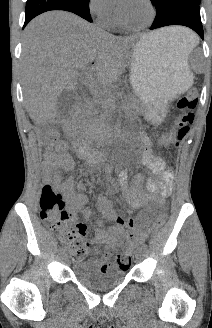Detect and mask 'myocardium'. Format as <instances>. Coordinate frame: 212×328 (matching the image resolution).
Masks as SVG:
<instances>
[{"label":"myocardium","instance_id":"1","mask_svg":"<svg viewBox=\"0 0 212 328\" xmlns=\"http://www.w3.org/2000/svg\"><path fill=\"white\" fill-rule=\"evenodd\" d=\"M143 2L148 6L149 11H150V17H149V20L147 23L140 24V25L130 24L124 20V18L122 17L121 11L117 12L116 19H117L118 23L121 26H123L124 28L133 30V31L143 30V29L147 28L152 23V21L154 20V18L156 16V8H155V5L152 0H143Z\"/></svg>","mask_w":212,"mask_h":328}]
</instances>
